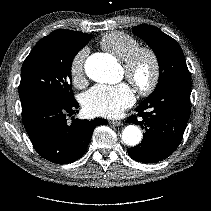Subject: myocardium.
Listing matches in <instances>:
<instances>
[{"label": "myocardium", "instance_id": "myocardium-1", "mask_svg": "<svg viewBox=\"0 0 211 211\" xmlns=\"http://www.w3.org/2000/svg\"><path fill=\"white\" fill-rule=\"evenodd\" d=\"M147 57L151 63L150 77L146 82H140L136 77V69L140 60ZM126 78L135 86L138 92L147 96L158 86L161 77V63L157 52L149 46L137 47L124 61Z\"/></svg>", "mask_w": 211, "mask_h": 211}]
</instances>
